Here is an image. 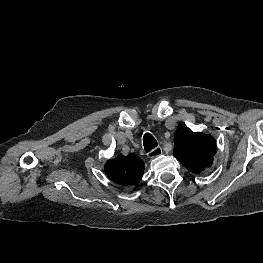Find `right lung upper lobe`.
Masks as SVG:
<instances>
[{"mask_svg":"<svg viewBox=\"0 0 263 263\" xmlns=\"http://www.w3.org/2000/svg\"><path fill=\"white\" fill-rule=\"evenodd\" d=\"M104 170L108 178L115 184L129 186L142 179L144 162L135 154L120 155L108 160Z\"/></svg>","mask_w":263,"mask_h":263,"instance_id":"1","label":"right lung upper lobe"}]
</instances>
